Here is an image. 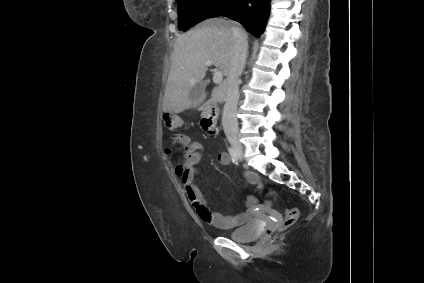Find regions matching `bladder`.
<instances>
[{
	"mask_svg": "<svg viewBox=\"0 0 424 283\" xmlns=\"http://www.w3.org/2000/svg\"><path fill=\"white\" fill-rule=\"evenodd\" d=\"M262 225L258 219H252L245 225L229 233V238L235 242H250L261 233Z\"/></svg>",
	"mask_w": 424,
	"mask_h": 283,
	"instance_id": "31cf9c89",
	"label": "bladder"
}]
</instances>
